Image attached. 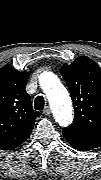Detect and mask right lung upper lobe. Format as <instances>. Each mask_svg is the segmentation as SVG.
<instances>
[{"instance_id": "right-lung-upper-lobe-1", "label": "right lung upper lobe", "mask_w": 101, "mask_h": 180, "mask_svg": "<svg viewBox=\"0 0 101 180\" xmlns=\"http://www.w3.org/2000/svg\"><path fill=\"white\" fill-rule=\"evenodd\" d=\"M29 72L11 66L0 69V147L11 150L31 134L36 117L30 97L25 91Z\"/></svg>"}]
</instances>
